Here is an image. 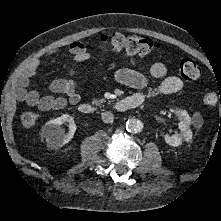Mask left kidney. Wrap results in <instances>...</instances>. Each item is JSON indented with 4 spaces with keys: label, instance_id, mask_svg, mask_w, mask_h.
Listing matches in <instances>:
<instances>
[{
    "label": "left kidney",
    "instance_id": "5707ae66",
    "mask_svg": "<svg viewBox=\"0 0 221 221\" xmlns=\"http://www.w3.org/2000/svg\"><path fill=\"white\" fill-rule=\"evenodd\" d=\"M171 112H174L180 121L178 125L181 133H175L172 136L165 135L164 139L168 145L177 147L180 146L183 141L189 142L192 139L193 133L190 129L191 118L185 110L172 109Z\"/></svg>",
    "mask_w": 221,
    "mask_h": 221
}]
</instances>
